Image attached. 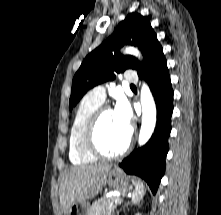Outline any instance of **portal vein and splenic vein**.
<instances>
[{"label": "portal vein and splenic vein", "instance_id": "portal-vein-and-splenic-vein-1", "mask_svg": "<svg viewBox=\"0 0 221 215\" xmlns=\"http://www.w3.org/2000/svg\"><path fill=\"white\" fill-rule=\"evenodd\" d=\"M121 202H122V199H121V198L118 197V198L115 199V203L121 204Z\"/></svg>", "mask_w": 221, "mask_h": 215}]
</instances>
